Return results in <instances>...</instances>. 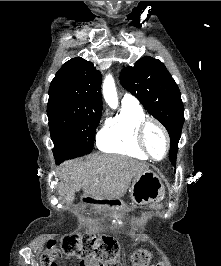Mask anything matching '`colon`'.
I'll use <instances>...</instances> for the list:
<instances>
[{
	"instance_id": "5ec220e1",
	"label": "colon",
	"mask_w": 221,
	"mask_h": 266,
	"mask_svg": "<svg viewBox=\"0 0 221 266\" xmlns=\"http://www.w3.org/2000/svg\"><path fill=\"white\" fill-rule=\"evenodd\" d=\"M54 247H63V250H54ZM119 246L111 236L94 235H66L59 246L50 241L47 251L42 256V265L57 262L61 258L76 257L82 261L100 262V266H122L118 260ZM58 253V256H54ZM150 255L145 249L136 250L131 257L132 266H148Z\"/></svg>"
}]
</instances>
